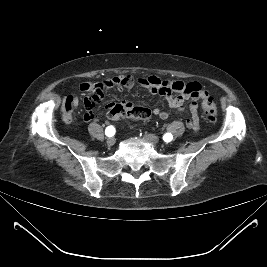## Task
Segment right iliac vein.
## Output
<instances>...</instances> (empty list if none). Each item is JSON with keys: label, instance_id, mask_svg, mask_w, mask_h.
<instances>
[{"label": "right iliac vein", "instance_id": "right-iliac-vein-1", "mask_svg": "<svg viewBox=\"0 0 267 267\" xmlns=\"http://www.w3.org/2000/svg\"><path fill=\"white\" fill-rule=\"evenodd\" d=\"M116 142V139L114 137H110L107 139L106 143L108 146H113Z\"/></svg>", "mask_w": 267, "mask_h": 267}]
</instances>
